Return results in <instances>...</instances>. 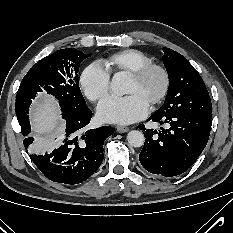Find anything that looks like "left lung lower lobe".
Returning <instances> with one entry per match:
<instances>
[{"label": "left lung lower lobe", "instance_id": "0a47b994", "mask_svg": "<svg viewBox=\"0 0 233 233\" xmlns=\"http://www.w3.org/2000/svg\"><path fill=\"white\" fill-rule=\"evenodd\" d=\"M168 124V129L160 131L146 129L143 124L138 128L146 135L139 160L150 173L172 177L184 173L198 159L206 147L211 119L189 112H155L147 121Z\"/></svg>", "mask_w": 233, "mask_h": 233}]
</instances>
